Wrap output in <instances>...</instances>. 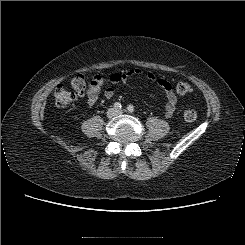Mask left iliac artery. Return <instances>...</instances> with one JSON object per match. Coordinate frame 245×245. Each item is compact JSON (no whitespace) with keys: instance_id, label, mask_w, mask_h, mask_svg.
I'll return each mask as SVG.
<instances>
[{"instance_id":"44dca946","label":"left iliac artery","mask_w":245,"mask_h":245,"mask_svg":"<svg viewBox=\"0 0 245 245\" xmlns=\"http://www.w3.org/2000/svg\"><path fill=\"white\" fill-rule=\"evenodd\" d=\"M127 110L130 112V113H132V112H134V106L133 105H129L128 107H127Z\"/></svg>"}]
</instances>
